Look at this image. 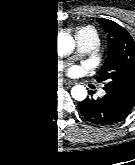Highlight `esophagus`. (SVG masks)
I'll use <instances>...</instances> for the list:
<instances>
[{"label":"esophagus","instance_id":"34e87169","mask_svg":"<svg viewBox=\"0 0 135 165\" xmlns=\"http://www.w3.org/2000/svg\"><path fill=\"white\" fill-rule=\"evenodd\" d=\"M64 83H65V84H71V82L68 81V80H65Z\"/></svg>","mask_w":135,"mask_h":165}]
</instances>
